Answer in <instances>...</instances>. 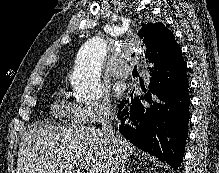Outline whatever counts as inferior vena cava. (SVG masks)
<instances>
[{
    "label": "inferior vena cava",
    "mask_w": 219,
    "mask_h": 173,
    "mask_svg": "<svg viewBox=\"0 0 219 173\" xmlns=\"http://www.w3.org/2000/svg\"><path fill=\"white\" fill-rule=\"evenodd\" d=\"M112 110L107 108L104 112V115L101 118V131L103 134L104 141L106 143H111L114 140V132L112 128ZM119 163L117 161H111L108 168L105 170V173H118L119 172Z\"/></svg>",
    "instance_id": "obj_1"
}]
</instances>
